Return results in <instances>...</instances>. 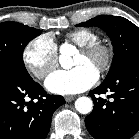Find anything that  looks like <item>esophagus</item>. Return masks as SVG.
<instances>
[{
	"label": "esophagus",
	"mask_w": 139,
	"mask_h": 139,
	"mask_svg": "<svg viewBox=\"0 0 139 139\" xmlns=\"http://www.w3.org/2000/svg\"><path fill=\"white\" fill-rule=\"evenodd\" d=\"M74 99H75V96H73V95L65 96L66 102H71V101H73Z\"/></svg>",
	"instance_id": "34e87169"
}]
</instances>
